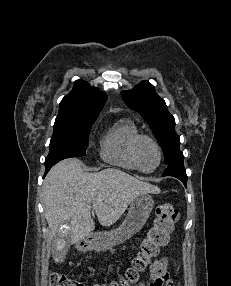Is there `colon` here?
<instances>
[{
    "instance_id": "obj_1",
    "label": "colon",
    "mask_w": 231,
    "mask_h": 286,
    "mask_svg": "<svg viewBox=\"0 0 231 286\" xmlns=\"http://www.w3.org/2000/svg\"><path fill=\"white\" fill-rule=\"evenodd\" d=\"M179 211L170 203H163L156 207L155 218L146 237L140 244L139 252L133 258L131 266L126 270L124 277L110 283H95L91 286H130L147 269L152 260L160 253L161 247L169 241ZM49 286H86L84 283L71 279L60 273H52L49 277Z\"/></svg>"
}]
</instances>
